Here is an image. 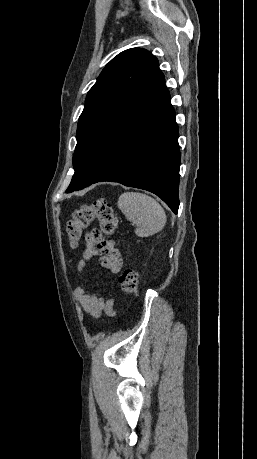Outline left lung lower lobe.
<instances>
[{"label": "left lung lower lobe", "instance_id": "0a47b994", "mask_svg": "<svg viewBox=\"0 0 257 459\" xmlns=\"http://www.w3.org/2000/svg\"><path fill=\"white\" fill-rule=\"evenodd\" d=\"M170 101L159 71L111 130L102 167L91 184L111 181L150 191L177 213L180 151Z\"/></svg>", "mask_w": 257, "mask_h": 459}]
</instances>
